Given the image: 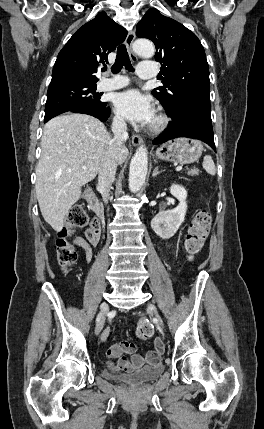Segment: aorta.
Returning <instances> with one entry per match:
<instances>
[{
  "label": "aorta",
  "mask_w": 264,
  "mask_h": 429,
  "mask_svg": "<svg viewBox=\"0 0 264 429\" xmlns=\"http://www.w3.org/2000/svg\"><path fill=\"white\" fill-rule=\"evenodd\" d=\"M135 53L144 58H151L155 53L153 43L146 39H138L133 44ZM148 169V155L145 146H140L131 162L129 168V189L131 192H137L145 182Z\"/></svg>",
  "instance_id": "aorta-1"
}]
</instances>
